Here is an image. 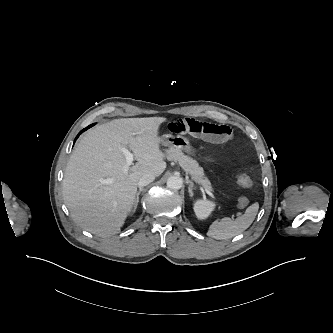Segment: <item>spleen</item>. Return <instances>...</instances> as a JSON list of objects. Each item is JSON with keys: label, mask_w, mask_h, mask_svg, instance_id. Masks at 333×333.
Segmentation results:
<instances>
[{"label": "spleen", "mask_w": 333, "mask_h": 333, "mask_svg": "<svg viewBox=\"0 0 333 333\" xmlns=\"http://www.w3.org/2000/svg\"><path fill=\"white\" fill-rule=\"evenodd\" d=\"M258 209L259 204L256 202L249 206L245 213L235 220L225 217L212 222L207 231V235L214 239L224 240L242 233L253 223Z\"/></svg>", "instance_id": "obj_1"}]
</instances>
